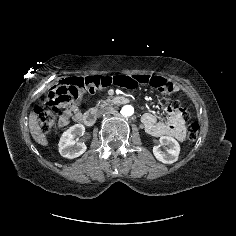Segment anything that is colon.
Here are the masks:
<instances>
[{
  "mask_svg": "<svg viewBox=\"0 0 236 236\" xmlns=\"http://www.w3.org/2000/svg\"><path fill=\"white\" fill-rule=\"evenodd\" d=\"M84 89L82 80L70 79L62 80L55 86V89L50 92L46 107H36L35 113L38 117V121L45 132H49L56 123V120L60 114L61 104H70L79 98V90ZM161 92L164 90L159 88ZM95 91V90H94ZM93 91V92H94ZM172 108L181 112L184 120L190 119V112L181 105L179 101L172 103ZM199 133V125L196 121H192L188 124L187 134L190 140L197 138Z\"/></svg>",
  "mask_w": 236,
  "mask_h": 236,
  "instance_id": "obj_1",
  "label": "colon"
}]
</instances>
